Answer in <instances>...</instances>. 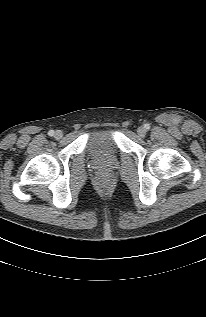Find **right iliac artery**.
Returning a JSON list of instances; mask_svg holds the SVG:
<instances>
[{
    "instance_id": "82829eb1",
    "label": "right iliac artery",
    "mask_w": 206,
    "mask_h": 317,
    "mask_svg": "<svg viewBox=\"0 0 206 317\" xmlns=\"http://www.w3.org/2000/svg\"><path fill=\"white\" fill-rule=\"evenodd\" d=\"M54 133H55V132H54L53 130H50V131L48 132V135H49V136H54Z\"/></svg>"
}]
</instances>
